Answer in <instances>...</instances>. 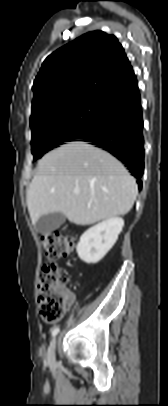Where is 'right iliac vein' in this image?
Segmentation results:
<instances>
[{"label":"right iliac vein","instance_id":"63e3f726","mask_svg":"<svg viewBox=\"0 0 168 406\" xmlns=\"http://www.w3.org/2000/svg\"><path fill=\"white\" fill-rule=\"evenodd\" d=\"M56 344H57V339L54 338L51 343L50 346L48 348V352H47V359L49 362H54L55 360V349H56Z\"/></svg>","mask_w":168,"mask_h":406}]
</instances>
